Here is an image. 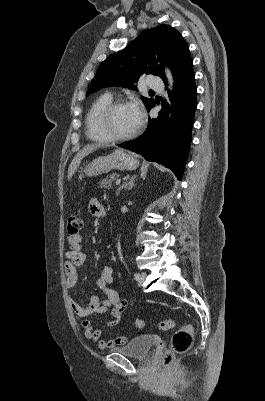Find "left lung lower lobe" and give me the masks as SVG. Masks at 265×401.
<instances>
[{
	"instance_id": "obj_1",
	"label": "left lung lower lobe",
	"mask_w": 265,
	"mask_h": 401,
	"mask_svg": "<svg viewBox=\"0 0 265 401\" xmlns=\"http://www.w3.org/2000/svg\"><path fill=\"white\" fill-rule=\"evenodd\" d=\"M174 79V90L170 94L171 104L163 103L158 118L149 120L147 129L139 138L118 146L138 153L148 161L165 165L181 179L197 106L191 56L175 72ZM164 83L167 86V81ZM154 105L155 102L151 107Z\"/></svg>"
}]
</instances>
